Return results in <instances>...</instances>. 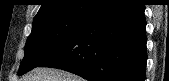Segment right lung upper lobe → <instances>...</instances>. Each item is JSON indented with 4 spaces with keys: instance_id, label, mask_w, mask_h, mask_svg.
I'll list each match as a JSON object with an SVG mask.
<instances>
[{
    "instance_id": "cb5924a9",
    "label": "right lung upper lobe",
    "mask_w": 169,
    "mask_h": 81,
    "mask_svg": "<svg viewBox=\"0 0 169 81\" xmlns=\"http://www.w3.org/2000/svg\"><path fill=\"white\" fill-rule=\"evenodd\" d=\"M122 0H43L34 21L62 15H72L90 19L109 9Z\"/></svg>"
}]
</instances>
